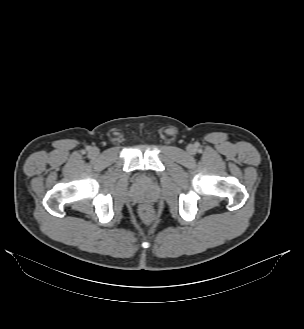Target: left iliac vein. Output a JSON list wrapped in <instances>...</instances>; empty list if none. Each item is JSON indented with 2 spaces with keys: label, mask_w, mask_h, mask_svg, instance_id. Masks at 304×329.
<instances>
[{
  "label": "left iliac vein",
  "mask_w": 304,
  "mask_h": 329,
  "mask_svg": "<svg viewBox=\"0 0 304 329\" xmlns=\"http://www.w3.org/2000/svg\"><path fill=\"white\" fill-rule=\"evenodd\" d=\"M187 150L190 154H193L195 152V148L192 145L188 146Z\"/></svg>",
  "instance_id": "4c4485c4"
}]
</instances>
